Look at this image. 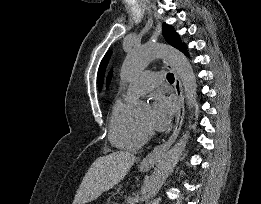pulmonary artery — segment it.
Listing matches in <instances>:
<instances>
[{
    "label": "pulmonary artery",
    "instance_id": "pulmonary-artery-1",
    "mask_svg": "<svg viewBox=\"0 0 261 204\" xmlns=\"http://www.w3.org/2000/svg\"><path fill=\"white\" fill-rule=\"evenodd\" d=\"M163 80L160 72H143L127 88L125 97L131 99L143 95Z\"/></svg>",
    "mask_w": 261,
    "mask_h": 204
}]
</instances>
